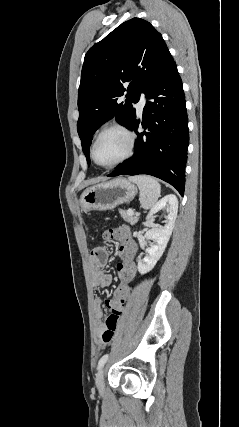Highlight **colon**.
Masks as SVG:
<instances>
[{"label":"colon","mask_w":239,"mask_h":427,"mask_svg":"<svg viewBox=\"0 0 239 427\" xmlns=\"http://www.w3.org/2000/svg\"><path fill=\"white\" fill-rule=\"evenodd\" d=\"M129 226L126 222H119L114 230H108L104 233V238L109 240L110 244H118L117 253L120 262L115 265L116 282L113 296H106L105 303L108 305L109 315L105 321V329L102 333V341L109 343L119 324V317L125 303V298H129L133 290L135 276H137L138 263L136 254L138 252L137 244L133 239Z\"/></svg>","instance_id":"colon-1"}]
</instances>
